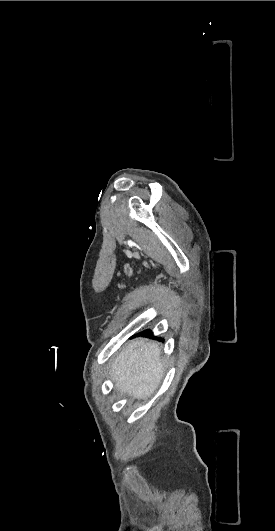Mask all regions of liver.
I'll use <instances>...</instances> for the list:
<instances>
[{
    "label": "liver",
    "instance_id": "obj_1",
    "mask_svg": "<svg viewBox=\"0 0 275 531\" xmlns=\"http://www.w3.org/2000/svg\"><path fill=\"white\" fill-rule=\"evenodd\" d=\"M159 343L136 339L128 343L111 363L114 389L133 399H148L158 389L164 375Z\"/></svg>",
    "mask_w": 275,
    "mask_h": 531
}]
</instances>
